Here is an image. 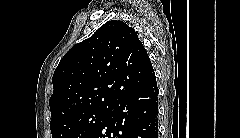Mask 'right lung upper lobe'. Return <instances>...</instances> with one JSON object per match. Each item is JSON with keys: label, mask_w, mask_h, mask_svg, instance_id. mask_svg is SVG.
<instances>
[{"label": "right lung upper lobe", "mask_w": 240, "mask_h": 138, "mask_svg": "<svg viewBox=\"0 0 240 138\" xmlns=\"http://www.w3.org/2000/svg\"><path fill=\"white\" fill-rule=\"evenodd\" d=\"M153 77L135 30L122 21L106 22L59 62L49 100L51 122L91 108H108Z\"/></svg>", "instance_id": "cb5924a9"}]
</instances>
